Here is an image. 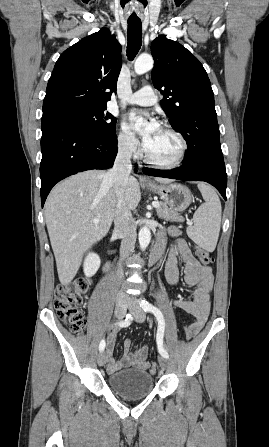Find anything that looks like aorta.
Instances as JSON below:
<instances>
[{
    "label": "aorta",
    "mask_w": 269,
    "mask_h": 447,
    "mask_svg": "<svg viewBox=\"0 0 269 447\" xmlns=\"http://www.w3.org/2000/svg\"><path fill=\"white\" fill-rule=\"evenodd\" d=\"M153 64L154 60L152 56H148V54H143V56H139V58H137L134 64L135 74H139V76H141V74H146V72L152 70ZM143 122H145L144 118H137L135 122L136 128H139V126H141ZM150 239H151V231L149 227H146V225H144V227H141L139 231V243L141 249H146L147 245H149L150 243Z\"/></svg>",
    "instance_id": "762f6f07"
}]
</instances>
